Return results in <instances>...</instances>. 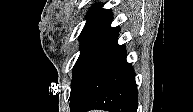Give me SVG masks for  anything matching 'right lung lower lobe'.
<instances>
[{
	"label": "right lung lower lobe",
	"mask_w": 193,
	"mask_h": 112,
	"mask_svg": "<svg viewBox=\"0 0 193 112\" xmlns=\"http://www.w3.org/2000/svg\"><path fill=\"white\" fill-rule=\"evenodd\" d=\"M118 34L89 62L70 94V111L137 112L135 73Z\"/></svg>",
	"instance_id": "obj_1"
}]
</instances>
